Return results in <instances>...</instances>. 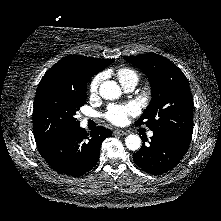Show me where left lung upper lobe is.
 Instances as JSON below:
<instances>
[{
	"label": "left lung upper lobe",
	"instance_id": "obj_1",
	"mask_svg": "<svg viewBox=\"0 0 221 221\" xmlns=\"http://www.w3.org/2000/svg\"><path fill=\"white\" fill-rule=\"evenodd\" d=\"M124 59L139 67L151 84V102L136 125L146 124L153 132L191 139L194 104L183 72L167 58L155 53Z\"/></svg>",
	"mask_w": 221,
	"mask_h": 221
}]
</instances>
